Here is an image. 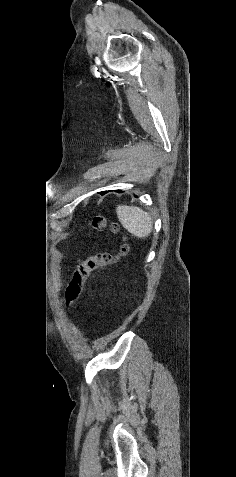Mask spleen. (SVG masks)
Returning a JSON list of instances; mask_svg holds the SVG:
<instances>
[{
	"label": "spleen",
	"instance_id": "obj_1",
	"mask_svg": "<svg viewBox=\"0 0 236 477\" xmlns=\"http://www.w3.org/2000/svg\"><path fill=\"white\" fill-rule=\"evenodd\" d=\"M116 212L122 226L133 236L144 238L151 233L153 222L144 210L136 206L118 205Z\"/></svg>",
	"mask_w": 236,
	"mask_h": 477
}]
</instances>
